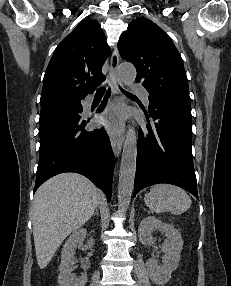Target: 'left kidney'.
Returning <instances> with one entry per match:
<instances>
[{
    "label": "left kidney",
    "mask_w": 231,
    "mask_h": 286,
    "mask_svg": "<svg viewBox=\"0 0 231 286\" xmlns=\"http://www.w3.org/2000/svg\"><path fill=\"white\" fill-rule=\"evenodd\" d=\"M156 230L161 231L167 237L161 248L164 253L163 265H158L157 260L152 257L146 261V267L151 280L157 285H164L179 265L183 239L179 230L173 225L164 223L154 216H148L141 221L138 228L140 241L144 245H151L154 242L152 233Z\"/></svg>",
    "instance_id": "1"
}]
</instances>
